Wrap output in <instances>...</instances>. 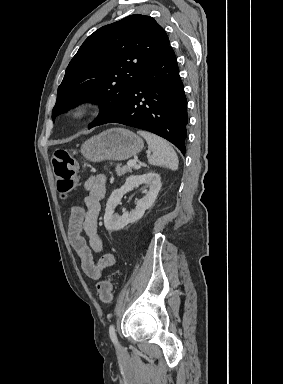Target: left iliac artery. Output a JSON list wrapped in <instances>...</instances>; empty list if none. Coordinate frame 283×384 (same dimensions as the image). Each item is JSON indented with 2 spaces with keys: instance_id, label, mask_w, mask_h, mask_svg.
I'll return each mask as SVG.
<instances>
[{
  "instance_id": "1",
  "label": "left iliac artery",
  "mask_w": 283,
  "mask_h": 384,
  "mask_svg": "<svg viewBox=\"0 0 283 384\" xmlns=\"http://www.w3.org/2000/svg\"><path fill=\"white\" fill-rule=\"evenodd\" d=\"M109 336H110V339L112 340V342L117 345L118 344V341H117V336H116V332H115V327L114 325H110L109 327Z\"/></svg>"
}]
</instances>
